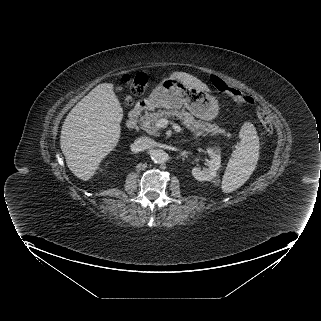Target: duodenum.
I'll return each instance as SVG.
<instances>
[{
    "label": "duodenum",
    "instance_id": "410a0bca",
    "mask_svg": "<svg viewBox=\"0 0 321 321\" xmlns=\"http://www.w3.org/2000/svg\"><path fill=\"white\" fill-rule=\"evenodd\" d=\"M149 107V103L146 100L139 101L135 107L130 111L128 119H127V125L130 128H133L141 115V113L144 110H147Z\"/></svg>",
    "mask_w": 321,
    "mask_h": 321
}]
</instances>
